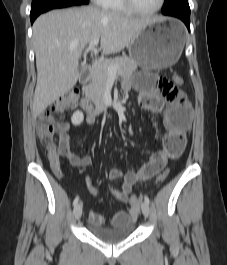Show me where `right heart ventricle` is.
<instances>
[{"label": "right heart ventricle", "mask_w": 227, "mask_h": 265, "mask_svg": "<svg viewBox=\"0 0 227 265\" xmlns=\"http://www.w3.org/2000/svg\"><path fill=\"white\" fill-rule=\"evenodd\" d=\"M106 10L119 13H128L129 10L125 7L122 0H105L101 5Z\"/></svg>", "instance_id": "e07e8e85"}]
</instances>
